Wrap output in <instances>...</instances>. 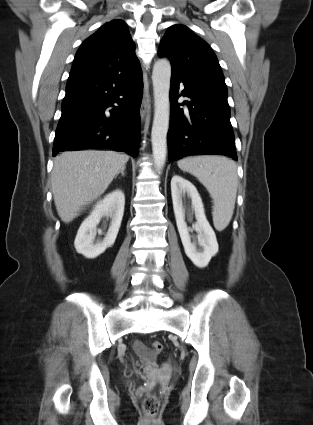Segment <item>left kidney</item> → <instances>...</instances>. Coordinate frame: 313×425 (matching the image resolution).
Returning <instances> with one entry per match:
<instances>
[{"mask_svg": "<svg viewBox=\"0 0 313 425\" xmlns=\"http://www.w3.org/2000/svg\"><path fill=\"white\" fill-rule=\"evenodd\" d=\"M171 194L176 224L185 253L195 266L205 268L218 252V243L215 232L206 219L202 199L196 187L190 181L178 175L171 179ZM185 194L191 198V210L197 220L194 228L198 232V244L202 247V251H197L196 243L191 242L189 228L185 222L183 205Z\"/></svg>", "mask_w": 313, "mask_h": 425, "instance_id": "5707ae66", "label": "left kidney"}]
</instances>
